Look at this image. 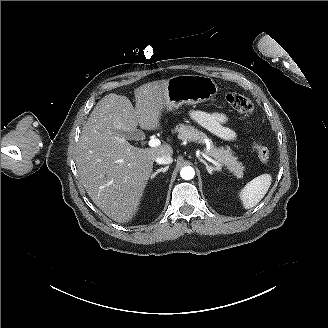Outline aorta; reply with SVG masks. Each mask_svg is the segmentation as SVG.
I'll return each instance as SVG.
<instances>
[{
	"label": "aorta",
	"mask_w": 328,
	"mask_h": 328,
	"mask_svg": "<svg viewBox=\"0 0 328 328\" xmlns=\"http://www.w3.org/2000/svg\"><path fill=\"white\" fill-rule=\"evenodd\" d=\"M180 175L184 180H191L194 178L195 171L191 166H186L181 169Z\"/></svg>",
	"instance_id": "obj_1"
}]
</instances>
